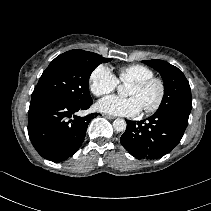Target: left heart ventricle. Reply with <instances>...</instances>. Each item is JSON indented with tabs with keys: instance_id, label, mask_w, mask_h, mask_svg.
Listing matches in <instances>:
<instances>
[{
	"instance_id": "obj_1",
	"label": "left heart ventricle",
	"mask_w": 211,
	"mask_h": 211,
	"mask_svg": "<svg viewBox=\"0 0 211 211\" xmlns=\"http://www.w3.org/2000/svg\"><path fill=\"white\" fill-rule=\"evenodd\" d=\"M127 94L130 97H135L139 101L142 109H146L156 103L159 97V87L155 83H152L144 88L131 85L128 88Z\"/></svg>"
}]
</instances>
